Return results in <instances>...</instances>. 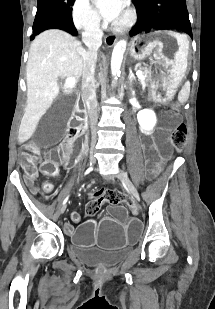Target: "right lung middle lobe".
Masks as SVG:
<instances>
[{"label":"right lung middle lobe","mask_w":215,"mask_h":309,"mask_svg":"<svg viewBox=\"0 0 215 309\" xmlns=\"http://www.w3.org/2000/svg\"><path fill=\"white\" fill-rule=\"evenodd\" d=\"M37 13L33 24L34 39L40 32L58 28L75 35L77 33L72 21V5L75 0H37Z\"/></svg>","instance_id":"dd1d6c3e"}]
</instances>
